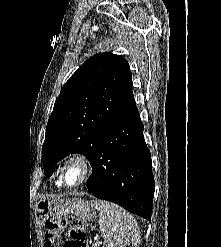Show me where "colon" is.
Instances as JSON below:
<instances>
[{
  "label": "colon",
  "instance_id": "1",
  "mask_svg": "<svg viewBox=\"0 0 221 247\" xmlns=\"http://www.w3.org/2000/svg\"><path fill=\"white\" fill-rule=\"evenodd\" d=\"M44 247H86L83 222L74 217L46 221ZM65 233V239L63 234Z\"/></svg>",
  "mask_w": 221,
  "mask_h": 247
}]
</instances>
